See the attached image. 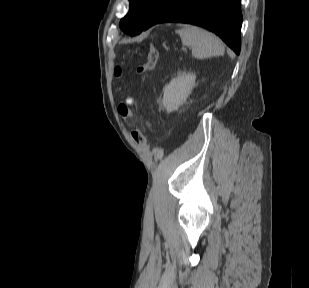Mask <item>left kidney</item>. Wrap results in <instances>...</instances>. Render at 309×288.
<instances>
[{
  "label": "left kidney",
  "instance_id": "left-kidney-1",
  "mask_svg": "<svg viewBox=\"0 0 309 288\" xmlns=\"http://www.w3.org/2000/svg\"><path fill=\"white\" fill-rule=\"evenodd\" d=\"M196 75L183 73L174 78L163 90V105L167 112L177 110L187 100L195 86Z\"/></svg>",
  "mask_w": 309,
  "mask_h": 288
}]
</instances>
